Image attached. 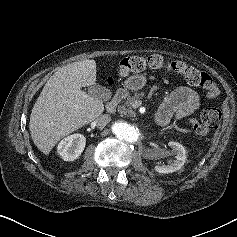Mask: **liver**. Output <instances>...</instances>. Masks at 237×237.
<instances>
[{
    "label": "liver",
    "mask_w": 237,
    "mask_h": 237,
    "mask_svg": "<svg viewBox=\"0 0 237 237\" xmlns=\"http://www.w3.org/2000/svg\"><path fill=\"white\" fill-rule=\"evenodd\" d=\"M96 62L78 61L63 66L44 85L29 121L36 147L48 155L63 137L97 119L104 111L101 99L82 87L96 84Z\"/></svg>",
    "instance_id": "obj_1"
}]
</instances>
